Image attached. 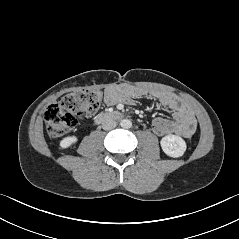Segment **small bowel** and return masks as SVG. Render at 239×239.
<instances>
[{
    "instance_id": "small-bowel-1",
    "label": "small bowel",
    "mask_w": 239,
    "mask_h": 239,
    "mask_svg": "<svg viewBox=\"0 0 239 239\" xmlns=\"http://www.w3.org/2000/svg\"><path fill=\"white\" fill-rule=\"evenodd\" d=\"M150 96L172 115V131L178 136L190 138L196 131L197 121L193 112L175 95L164 91H148L142 87L127 84L111 86L106 91L105 104L114 106L125 103L130 104L134 98Z\"/></svg>"
}]
</instances>
